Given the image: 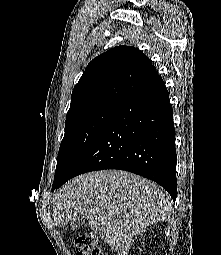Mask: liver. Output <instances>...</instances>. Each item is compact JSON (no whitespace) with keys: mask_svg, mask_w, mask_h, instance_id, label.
I'll return each instance as SVG.
<instances>
[{"mask_svg":"<svg viewBox=\"0 0 221 255\" xmlns=\"http://www.w3.org/2000/svg\"><path fill=\"white\" fill-rule=\"evenodd\" d=\"M170 196L158 184L120 170L80 175L53 198L55 225L65 227L81 215L118 255H127L134 238L170 217Z\"/></svg>","mask_w":221,"mask_h":255,"instance_id":"obj_1","label":"liver"}]
</instances>
